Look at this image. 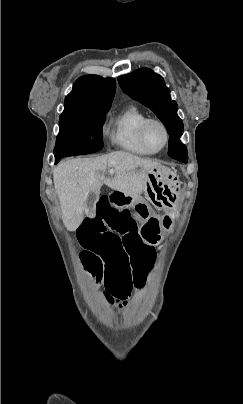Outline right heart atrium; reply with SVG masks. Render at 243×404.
I'll use <instances>...</instances> for the list:
<instances>
[{
	"instance_id": "right-heart-atrium-1",
	"label": "right heart atrium",
	"mask_w": 243,
	"mask_h": 404,
	"mask_svg": "<svg viewBox=\"0 0 243 404\" xmlns=\"http://www.w3.org/2000/svg\"><path fill=\"white\" fill-rule=\"evenodd\" d=\"M100 135L103 140L108 141V143L112 144V137L110 132V126L107 122H103L100 126Z\"/></svg>"
}]
</instances>
